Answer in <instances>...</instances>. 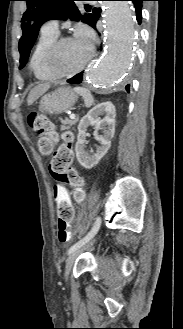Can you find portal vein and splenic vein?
I'll use <instances>...</instances> for the list:
<instances>
[{"mask_svg":"<svg viewBox=\"0 0 183 329\" xmlns=\"http://www.w3.org/2000/svg\"><path fill=\"white\" fill-rule=\"evenodd\" d=\"M75 118H76V115H75V114H71V115H70V119H71V120H73V119H75Z\"/></svg>","mask_w":183,"mask_h":329,"instance_id":"obj_1","label":"portal vein and splenic vein"}]
</instances>
